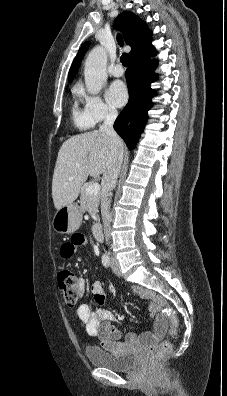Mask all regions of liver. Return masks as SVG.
Instances as JSON below:
<instances>
[{
    "instance_id": "liver-1",
    "label": "liver",
    "mask_w": 227,
    "mask_h": 396,
    "mask_svg": "<svg viewBox=\"0 0 227 396\" xmlns=\"http://www.w3.org/2000/svg\"><path fill=\"white\" fill-rule=\"evenodd\" d=\"M110 147L109 137L101 131L79 134L62 144L52 180V197L57 210L76 200L89 175L97 177L104 173ZM118 147L123 153L124 146L120 138Z\"/></svg>"
}]
</instances>
